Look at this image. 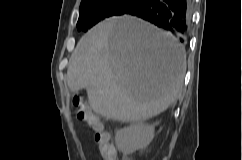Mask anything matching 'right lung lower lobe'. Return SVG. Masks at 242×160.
Masks as SVG:
<instances>
[{
  "label": "right lung lower lobe",
  "mask_w": 242,
  "mask_h": 160,
  "mask_svg": "<svg viewBox=\"0 0 242 160\" xmlns=\"http://www.w3.org/2000/svg\"><path fill=\"white\" fill-rule=\"evenodd\" d=\"M125 14L142 18L184 42L190 25V0H141Z\"/></svg>",
  "instance_id": "1"
}]
</instances>
